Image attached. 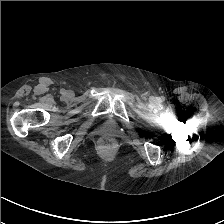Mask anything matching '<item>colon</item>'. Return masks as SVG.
<instances>
[{"label":"colon","mask_w":224,"mask_h":224,"mask_svg":"<svg viewBox=\"0 0 224 224\" xmlns=\"http://www.w3.org/2000/svg\"><path fill=\"white\" fill-rule=\"evenodd\" d=\"M110 143V140L108 138H104L102 139V144H109Z\"/></svg>","instance_id":"5ec220e1"}]
</instances>
